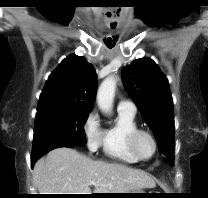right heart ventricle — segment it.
Listing matches in <instances>:
<instances>
[{
    "instance_id": "right-heart-ventricle-1",
    "label": "right heart ventricle",
    "mask_w": 208,
    "mask_h": 198,
    "mask_svg": "<svg viewBox=\"0 0 208 198\" xmlns=\"http://www.w3.org/2000/svg\"><path fill=\"white\" fill-rule=\"evenodd\" d=\"M138 129L135 114L118 111L114 124L103 131V152L111 160L125 164H135L140 160L129 147L130 134Z\"/></svg>"
}]
</instances>
